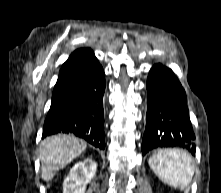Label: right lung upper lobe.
Here are the masks:
<instances>
[{"label":"right lung upper lobe","instance_id":"1","mask_svg":"<svg viewBox=\"0 0 221 193\" xmlns=\"http://www.w3.org/2000/svg\"><path fill=\"white\" fill-rule=\"evenodd\" d=\"M96 60L93 51L89 48H81L74 51L60 70L52 98L59 95L78 75Z\"/></svg>","mask_w":221,"mask_h":193}]
</instances>
